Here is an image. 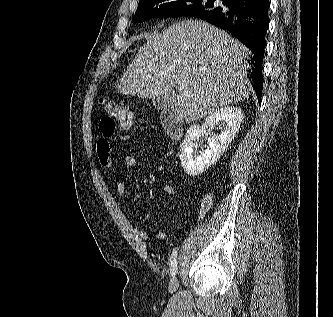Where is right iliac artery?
<instances>
[{
	"label": "right iliac artery",
	"instance_id": "1",
	"mask_svg": "<svg viewBox=\"0 0 333 317\" xmlns=\"http://www.w3.org/2000/svg\"><path fill=\"white\" fill-rule=\"evenodd\" d=\"M178 267H177V250L174 249L171 255L170 260V274L172 276H175L177 273Z\"/></svg>",
	"mask_w": 333,
	"mask_h": 317
}]
</instances>
